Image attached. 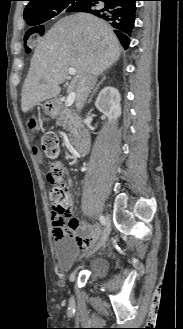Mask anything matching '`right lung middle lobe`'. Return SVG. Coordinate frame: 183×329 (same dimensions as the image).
<instances>
[{"label": "right lung middle lobe", "instance_id": "dd1d6c3e", "mask_svg": "<svg viewBox=\"0 0 183 329\" xmlns=\"http://www.w3.org/2000/svg\"><path fill=\"white\" fill-rule=\"evenodd\" d=\"M83 0H63L59 1L51 6V9L48 10L46 13L33 16V17H27L24 18L29 25L35 26L33 29L34 32H39L40 34H43V25L45 21H48L52 17H55L61 12H74L79 6L81 5V2Z\"/></svg>", "mask_w": 183, "mask_h": 329}]
</instances>
